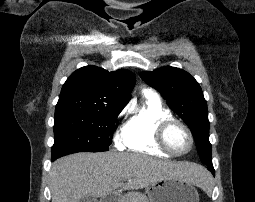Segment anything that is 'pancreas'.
I'll return each instance as SVG.
<instances>
[{
	"label": "pancreas",
	"mask_w": 255,
	"mask_h": 202,
	"mask_svg": "<svg viewBox=\"0 0 255 202\" xmlns=\"http://www.w3.org/2000/svg\"><path fill=\"white\" fill-rule=\"evenodd\" d=\"M121 202H149V201H148V198L144 194H142L138 191H132V192H129L126 195H124L122 197Z\"/></svg>",
	"instance_id": "1"
}]
</instances>
